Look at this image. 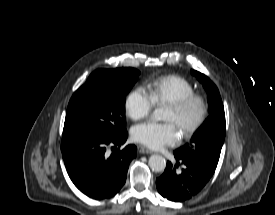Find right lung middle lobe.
<instances>
[{"label":"right lung middle lobe","instance_id":"dd1d6c3e","mask_svg":"<svg viewBox=\"0 0 275 215\" xmlns=\"http://www.w3.org/2000/svg\"><path fill=\"white\" fill-rule=\"evenodd\" d=\"M139 73L134 68L94 71L70 99L62 138H112L124 133L125 96Z\"/></svg>","mask_w":275,"mask_h":215}]
</instances>
